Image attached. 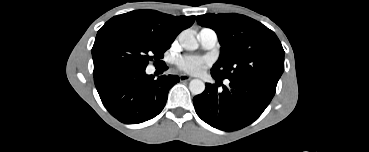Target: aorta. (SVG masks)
Here are the masks:
<instances>
[{
  "label": "aorta",
  "instance_id": "1",
  "mask_svg": "<svg viewBox=\"0 0 369 152\" xmlns=\"http://www.w3.org/2000/svg\"><path fill=\"white\" fill-rule=\"evenodd\" d=\"M179 42L181 46L188 51H193L198 48V42L195 36L189 32H182L179 35ZM189 89L192 94L199 95L205 90V83L199 79H193L189 83Z\"/></svg>",
  "mask_w": 369,
  "mask_h": 152
}]
</instances>
